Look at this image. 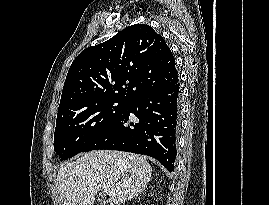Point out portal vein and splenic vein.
Returning <instances> with one entry per match:
<instances>
[{"mask_svg": "<svg viewBox=\"0 0 269 205\" xmlns=\"http://www.w3.org/2000/svg\"><path fill=\"white\" fill-rule=\"evenodd\" d=\"M111 194H112V192H111L110 189H104V191H103V195L110 196Z\"/></svg>", "mask_w": 269, "mask_h": 205, "instance_id": "portal-vein-and-splenic-vein-1", "label": "portal vein and splenic vein"}]
</instances>
